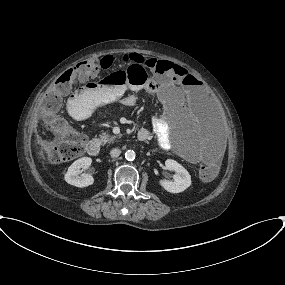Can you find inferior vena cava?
I'll return each instance as SVG.
<instances>
[{"mask_svg": "<svg viewBox=\"0 0 285 285\" xmlns=\"http://www.w3.org/2000/svg\"><path fill=\"white\" fill-rule=\"evenodd\" d=\"M120 154H121V150L119 148H114L110 151V155L113 158L120 156Z\"/></svg>", "mask_w": 285, "mask_h": 285, "instance_id": "obj_1", "label": "inferior vena cava"}]
</instances>
